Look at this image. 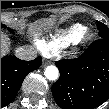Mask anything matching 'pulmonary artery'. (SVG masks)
I'll use <instances>...</instances> for the list:
<instances>
[{"instance_id":"1","label":"pulmonary artery","mask_w":109,"mask_h":109,"mask_svg":"<svg viewBox=\"0 0 109 109\" xmlns=\"http://www.w3.org/2000/svg\"><path fill=\"white\" fill-rule=\"evenodd\" d=\"M39 50H40L43 54H45V50H44L42 47H39Z\"/></svg>"}]
</instances>
